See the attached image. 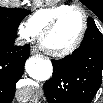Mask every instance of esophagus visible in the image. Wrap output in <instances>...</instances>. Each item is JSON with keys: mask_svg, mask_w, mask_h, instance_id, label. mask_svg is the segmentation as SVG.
Listing matches in <instances>:
<instances>
[{"mask_svg": "<svg viewBox=\"0 0 103 103\" xmlns=\"http://www.w3.org/2000/svg\"><path fill=\"white\" fill-rule=\"evenodd\" d=\"M31 54H37V50L35 48H31Z\"/></svg>", "mask_w": 103, "mask_h": 103, "instance_id": "esophagus-1", "label": "esophagus"}]
</instances>
